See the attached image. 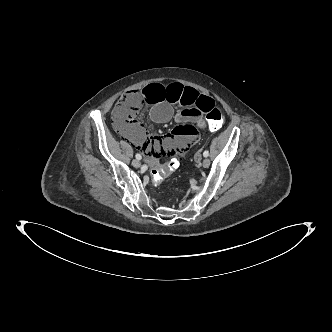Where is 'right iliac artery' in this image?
Returning a JSON list of instances; mask_svg holds the SVG:
<instances>
[{
  "label": "right iliac artery",
  "instance_id": "right-iliac-artery-1",
  "mask_svg": "<svg viewBox=\"0 0 332 332\" xmlns=\"http://www.w3.org/2000/svg\"><path fill=\"white\" fill-rule=\"evenodd\" d=\"M135 157H136L137 160H141V159H142V156H141V154H139V153H137V154L135 155Z\"/></svg>",
  "mask_w": 332,
  "mask_h": 332
}]
</instances>
